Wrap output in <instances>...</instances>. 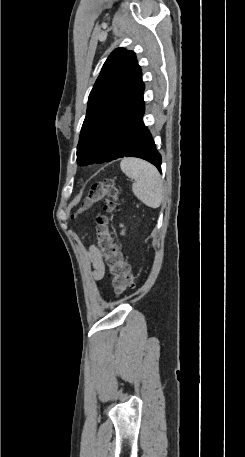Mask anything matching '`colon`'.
<instances>
[{
	"instance_id": "colon-1",
	"label": "colon",
	"mask_w": 245,
	"mask_h": 457,
	"mask_svg": "<svg viewBox=\"0 0 245 457\" xmlns=\"http://www.w3.org/2000/svg\"><path fill=\"white\" fill-rule=\"evenodd\" d=\"M120 193L113 179L94 183L81 204V210L97 202H105L107 214L96 220V243L112 276V285L116 295H121L134 286V276L129 263L124 258L119 244L112 235L108 214L118 210Z\"/></svg>"
}]
</instances>
